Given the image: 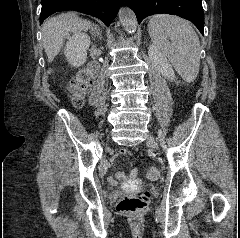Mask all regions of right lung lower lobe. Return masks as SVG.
Wrapping results in <instances>:
<instances>
[{"instance_id": "right-lung-lower-lobe-1", "label": "right lung lower lobe", "mask_w": 240, "mask_h": 238, "mask_svg": "<svg viewBox=\"0 0 240 238\" xmlns=\"http://www.w3.org/2000/svg\"><path fill=\"white\" fill-rule=\"evenodd\" d=\"M122 0H42L40 24L51 14L74 10L101 19L107 26L116 17Z\"/></svg>"}]
</instances>
